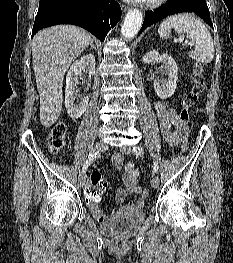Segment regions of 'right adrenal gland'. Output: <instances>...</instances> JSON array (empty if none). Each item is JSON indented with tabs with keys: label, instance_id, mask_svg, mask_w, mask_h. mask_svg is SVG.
<instances>
[{
	"label": "right adrenal gland",
	"instance_id": "obj_1",
	"mask_svg": "<svg viewBox=\"0 0 233 263\" xmlns=\"http://www.w3.org/2000/svg\"><path fill=\"white\" fill-rule=\"evenodd\" d=\"M90 47L96 50V47H95V45L93 44V41H91Z\"/></svg>",
	"mask_w": 233,
	"mask_h": 263
}]
</instances>
